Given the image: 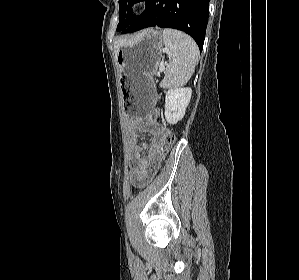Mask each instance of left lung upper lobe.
I'll return each mask as SVG.
<instances>
[{"label": "left lung upper lobe", "instance_id": "left-lung-upper-lobe-1", "mask_svg": "<svg viewBox=\"0 0 299 280\" xmlns=\"http://www.w3.org/2000/svg\"><path fill=\"white\" fill-rule=\"evenodd\" d=\"M139 0H119V23L117 31L125 30L133 21L131 7Z\"/></svg>", "mask_w": 299, "mask_h": 280}]
</instances>
